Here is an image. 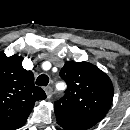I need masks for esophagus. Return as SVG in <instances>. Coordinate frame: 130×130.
<instances>
[{"instance_id": "obj_1", "label": "esophagus", "mask_w": 130, "mask_h": 130, "mask_svg": "<svg viewBox=\"0 0 130 130\" xmlns=\"http://www.w3.org/2000/svg\"><path fill=\"white\" fill-rule=\"evenodd\" d=\"M45 93L47 95V98L50 99L52 97V94H53V89L52 87L48 86V87H45Z\"/></svg>"}]
</instances>
